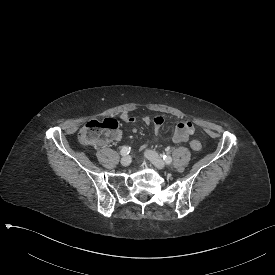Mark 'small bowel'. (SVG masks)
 <instances>
[{
    "instance_id": "obj_1",
    "label": "small bowel",
    "mask_w": 275,
    "mask_h": 275,
    "mask_svg": "<svg viewBox=\"0 0 275 275\" xmlns=\"http://www.w3.org/2000/svg\"><path fill=\"white\" fill-rule=\"evenodd\" d=\"M120 119L129 124H134L137 121V118L128 113H122ZM163 124V118L158 116L154 118V128L155 132H158L161 125ZM121 133V132H120ZM194 133V125L191 121H181L177 124L173 141L175 143H183L186 142L189 137ZM122 137V136H120ZM144 147H142L143 149Z\"/></svg>"
}]
</instances>
